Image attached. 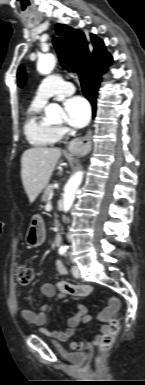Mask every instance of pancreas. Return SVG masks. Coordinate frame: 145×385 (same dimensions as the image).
Instances as JSON below:
<instances>
[{
	"instance_id": "1",
	"label": "pancreas",
	"mask_w": 145,
	"mask_h": 385,
	"mask_svg": "<svg viewBox=\"0 0 145 385\" xmlns=\"http://www.w3.org/2000/svg\"><path fill=\"white\" fill-rule=\"evenodd\" d=\"M52 189H53V187L51 185L46 187V189L44 190V193L42 195V201L43 202H47L50 199V194H51Z\"/></svg>"
}]
</instances>
